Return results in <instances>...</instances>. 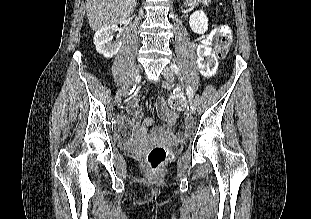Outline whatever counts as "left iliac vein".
<instances>
[{
    "label": "left iliac vein",
    "instance_id": "4c4485c4",
    "mask_svg": "<svg viewBox=\"0 0 311 219\" xmlns=\"http://www.w3.org/2000/svg\"><path fill=\"white\" fill-rule=\"evenodd\" d=\"M163 77L165 78L168 85H171L174 82V74L173 71L169 67H165L162 72ZM188 108L191 113H195V105L194 103L189 99L188 100Z\"/></svg>",
    "mask_w": 311,
    "mask_h": 219
}]
</instances>
